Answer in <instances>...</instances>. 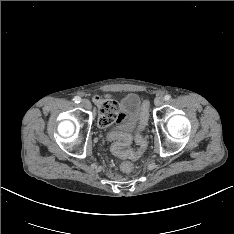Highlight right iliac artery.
I'll list each match as a JSON object with an SVG mask.
<instances>
[{
	"mask_svg": "<svg viewBox=\"0 0 234 234\" xmlns=\"http://www.w3.org/2000/svg\"><path fill=\"white\" fill-rule=\"evenodd\" d=\"M73 100L75 103H79L81 101V98L79 96H75Z\"/></svg>",
	"mask_w": 234,
	"mask_h": 234,
	"instance_id": "82829eb1",
	"label": "right iliac artery"
}]
</instances>
